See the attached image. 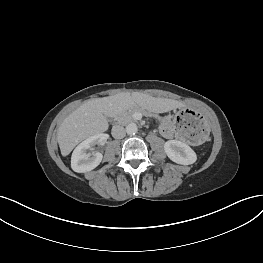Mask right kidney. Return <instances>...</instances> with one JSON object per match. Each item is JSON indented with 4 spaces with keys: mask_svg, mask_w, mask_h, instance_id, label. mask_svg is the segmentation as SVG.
Here are the masks:
<instances>
[{
    "mask_svg": "<svg viewBox=\"0 0 263 263\" xmlns=\"http://www.w3.org/2000/svg\"><path fill=\"white\" fill-rule=\"evenodd\" d=\"M107 134L93 135L81 142L73 151L71 157V168L78 173H85L96 168L102 161L103 155L100 152H88L95 145L106 142Z\"/></svg>",
    "mask_w": 263,
    "mask_h": 263,
    "instance_id": "right-kidney-1",
    "label": "right kidney"
}]
</instances>
